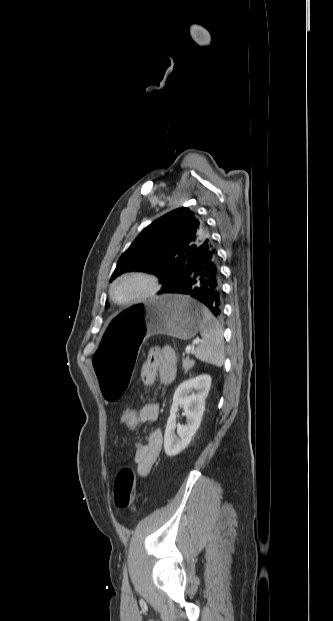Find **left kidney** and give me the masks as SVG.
Listing matches in <instances>:
<instances>
[{"label": "left kidney", "instance_id": "obj_1", "mask_svg": "<svg viewBox=\"0 0 333 621\" xmlns=\"http://www.w3.org/2000/svg\"><path fill=\"white\" fill-rule=\"evenodd\" d=\"M210 386L211 377L203 374L183 382L175 390L164 435V450L168 456L177 455L190 443L200 426ZM193 390H196V393L190 394ZM179 406L184 409L187 424L178 429L179 438H177L174 431Z\"/></svg>", "mask_w": 333, "mask_h": 621}]
</instances>
